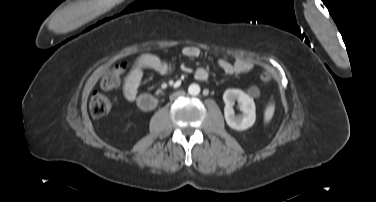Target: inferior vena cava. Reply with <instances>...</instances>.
Segmentation results:
<instances>
[{"label":"inferior vena cava","mask_w":376,"mask_h":202,"mask_svg":"<svg viewBox=\"0 0 376 202\" xmlns=\"http://www.w3.org/2000/svg\"><path fill=\"white\" fill-rule=\"evenodd\" d=\"M183 93H176L174 96H172V99H174V98H176V97H178V96H180V95H182Z\"/></svg>","instance_id":"obj_1"}]
</instances>
